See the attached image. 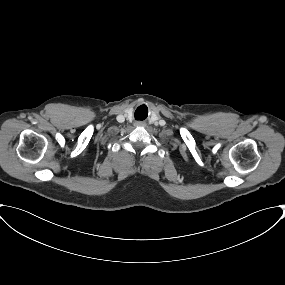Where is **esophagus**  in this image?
<instances>
[{"label":"esophagus","instance_id":"34e87169","mask_svg":"<svg viewBox=\"0 0 285 285\" xmlns=\"http://www.w3.org/2000/svg\"><path fill=\"white\" fill-rule=\"evenodd\" d=\"M144 125H145L144 122H140V121L135 123V126H144Z\"/></svg>","mask_w":285,"mask_h":285}]
</instances>
